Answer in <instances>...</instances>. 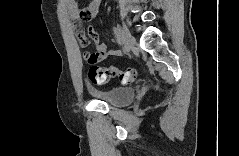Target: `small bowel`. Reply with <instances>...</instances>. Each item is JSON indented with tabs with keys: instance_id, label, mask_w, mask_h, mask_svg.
Wrapping results in <instances>:
<instances>
[{
	"instance_id": "1",
	"label": "small bowel",
	"mask_w": 239,
	"mask_h": 156,
	"mask_svg": "<svg viewBox=\"0 0 239 156\" xmlns=\"http://www.w3.org/2000/svg\"><path fill=\"white\" fill-rule=\"evenodd\" d=\"M67 10L73 16L72 24L74 28L75 35L81 45V47L86 48L89 45V39L86 36L84 29L82 28L81 20L79 19L80 10L74 1L65 2ZM101 5V0H92L87 6L82 10L89 14V20L97 17ZM87 34L89 38L96 44V52L85 53V58L87 62L91 65H95L99 62L104 61L109 55L118 56L121 54L118 50L109 51L106 44L100 42L99 34L93 26H89L87 29Z\"/></svg>"
}]
</instances>
